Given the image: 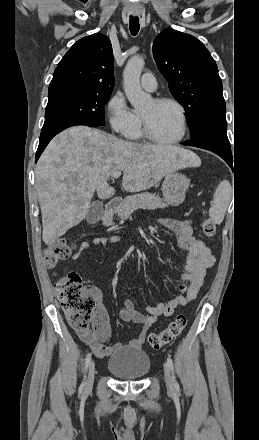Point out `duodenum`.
<instances>
[{
	"mask_svg": "<svg viewBox=\"0 0 259 440\" xmlns=\"http://www.w3.org/2000/svg\"><path fill=\"white\" fill-rule=\"evenodd\" d=\"M117 204H118L117 199H112V200L108 201L105 205V208H104V215L109 216Z\"/></svg>",
	"mask_w": 259,
	"mask_h": 440,
	"instance_id": "1",
	"label": "duodenum"
}]
</instances>
